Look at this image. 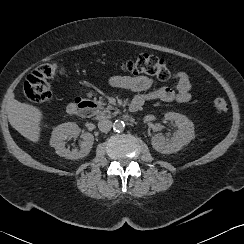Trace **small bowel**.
I'll return each instance as SVG.
<instances>
[{"label":"small bowel","mask_w":244,"mask_h":244,"mask_svg":"<svg viewBox=\"0 0 244 244\" xmlns=\"http://www.w3.org/2000/svg\"><path fill=\"white\" fill-rule=\"evenodd\" d=\"M110 82L116 87L135 93L131 103L134 104L136 110L141 109L146 102L150 101L171 102L175 100L185 103L191 98V83L188 76L184 73L180 75L174 88L163 86L151 89L153 82L145 76L120 75L113 77Z\"/></svg>","instance_id":"small-bowel-1"}]
</instances>
